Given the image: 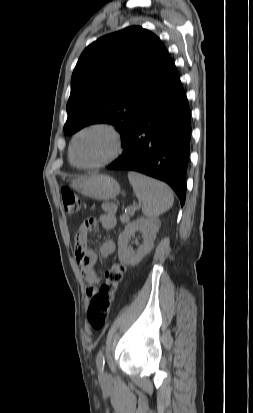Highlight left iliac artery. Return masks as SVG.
Segmentation results:
<instances>
[{
    "label": "left iliac artery",
    "mask_w": 253,
    "mask_h": 413,
    "mask_svg": "<svg viewBox=\"0 0 253 413\" xmlns=\"http://www.w3.org/2000/svg\"><path fill=\"white\" fill-rule=\"evenodd\" d=\"M96 364H97V368L100 371H102L104 369L105 358H104V354L102 352L98 353L97 358H96Z\"/></svg>",
    "instance_id": "left-iliac-artery-1"
}]
</instances>
